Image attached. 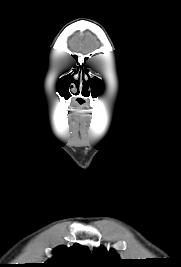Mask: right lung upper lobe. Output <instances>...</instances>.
Returning <instances> with one entry per match:
<instances>
[{
  "label": "right lung upper lobe",
  "instance_id": "1",
  "mask_svg": "<svg viewBox=\"0 0 181 267\" xmlns=\"http://www.w3.org/2000/svg\"><path fill=\"white\" fill-rule=\"evenodd\" d=\"M54 257L43 263L44 267H89L92 256L87 247L79 244L68 248L59 246L53 251Z\"/></svg>",
  "mask_w": 181,
  "mask_h": 267
}]
</instances>
